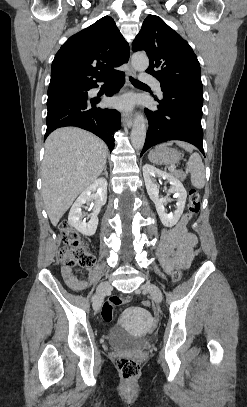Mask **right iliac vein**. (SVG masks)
Wrapping results in <instances>:
<instances>
[{
  "mask_svg": "<svg viewBox=\"0 0 247 407\" xmlns=\"http://www.w3.org/2000/svg\"><path fill=\"white\" fill-rule=\"evenodd\" d=\"M111 284L109 282H102L97 287V295L93 303L94 310L98 311L101 308L102 302L107 292L111 290Z\"/></svg>",
  "mask_w": 247,
  "mask_h": 407,
  "instance_id": "right-iliac-vein-1",
  "label": "right iliac vein"
}]
</instances>
